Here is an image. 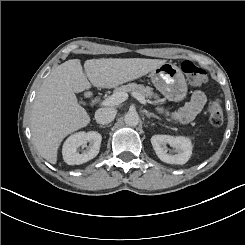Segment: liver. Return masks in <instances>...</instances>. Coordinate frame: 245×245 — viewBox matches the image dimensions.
I'll use <instances>...</instances> for the list:
<instances>
[{"label":"liver","mask_w":245,"mask_h":245,"mask_svg":"<svg viewBox=\"0 0 245 245\" xmlns=\"http://www.w3.org/2000/svg\"><path fill=\"white\" fill-rule=\"evenodd\" d=\"M163 63L165 60L104 58L86 60L84 67L94 86L111 88L145 75ZM87 77L79 59L68 60L50 73L37 93L30 120L32 139L38 152L50 163H55L64 136L89 123V116L74 93L90 85Z\"/></svg>","instance_id":"liver-1"}]
</instances>
